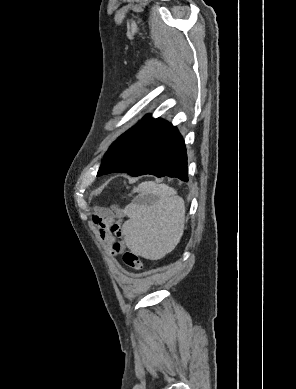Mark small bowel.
I'll return each mask as SVG.
<instances>
[{
    "label": "small bowel",
    "instance_id": "obj_1",
    "mask_svg": "<svg viewBox=\"0 0 296 389\" xmlns=\"http://www.w3.org/2000/svg\"><path fill=\"white\" fill-rule=\"evenodd\" d=\"M123 219V212L113 208H98L93 217L101 241L113 256L120 255L126 246Z\"/></svg>",
    "mask_w": 296,
    "mask_h": 389
}]
</instances>
